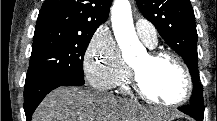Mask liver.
I'll use <instances>...</instances> for the list:
<instances>
[{
    "label": "liver",
    "mask_w": 217,
    "mask_h": 121,
    "mask_svg": "<svg viewBox=\"0 0 217 121\" xmlns=\"http://www.w3.org/2000/svg\"><path fill=\"white\" fill-rule=\"evenodd\" d=\"M149 110L131 100L102 95L78 87L50 92L32 121H150Z\"/></svg>",
    "instance_id": "liver-1"
}]
</instances>
